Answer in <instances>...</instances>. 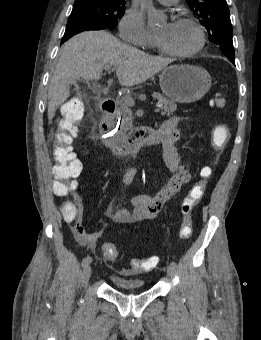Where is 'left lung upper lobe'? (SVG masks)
I'll return each mask as SVG.
<instances>
[{
    "label": "left lung upper lobe",
    "mask_w": 261,
    "mask_h": 340,
    "mask_svg": "<svg viewBox=\"0 0 261 340\" xmlns=\"http://www.w3.org/2000/svg\"><path fill=\"white\" fill-rule=\"evenodd\" d=\"M189 8L208 31L210 39L228 57L234 59L232 26L226 0H187Z\"/></svg>",
    "instance_id": "5c2ea615"
}]
</instances>
